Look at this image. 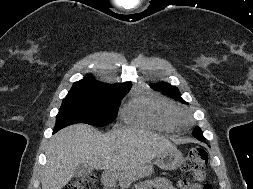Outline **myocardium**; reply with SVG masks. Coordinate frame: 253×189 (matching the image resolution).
Wrapping results in <instances>:
<instances>
[{
  "mask_svg": "<svg viewBox=\"0 0 253 189\" xmlns=\"http://www.w3.org/2000/svg\"><path fill=\"white\" fill-rule=\"evenodd\" d=\"M176 120L178 124L182 126L187 125L189 122L188 116L185 113L179 111L176 113Z\"/></svg>",
  "mask_w": 253,
  "mask_h": 189,
  "instance_id": "f54148a6",
  "label": "myocardium"
}]
</instances>
